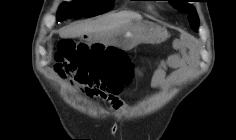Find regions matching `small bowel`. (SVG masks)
I'll list each match as a JSON object with an SVG mask.
<instances>
[{
  "mask_svg": "<svg viewBox=\"0 0 236 140\" xmlns=\"http://www.w3.org/2000/svg\"><path fill=\"white\" fill-rule=\"evenodd\" d=\"M176 53L162 59L153 71L151 85L154 88L168 89L179 83L192 67V59L186 52L182 41H175ZM116 110L124 108V103L119 98L111 101Z\"/></svg>",
  "mask_w": 236,
  "mask_h": 140,
  "instance_id": "small-bowel-1",
  "label": "small bowel"
}]
</instances>
